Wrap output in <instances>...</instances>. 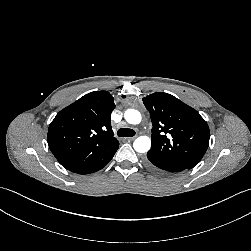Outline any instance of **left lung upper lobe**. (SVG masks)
Wrapping results in <instances>:
<instances>
[{"mask_svg":"<svg viewBox=\"0 0 251 251\" xmlns=\"http://www.w3.org/2000/svg\"><path fill=\"white\" fill-rule=\"evenodd\" d=\"M152 120L151 149L147 154L167 159L188 169L205 154L209 127L200 114L176 97L162 92L143 98Z\"/></svg>","mask_w":251,"mask_h":251,"instance_id":"obj_1","label":"left lung upper lobe"}]
</instances>
